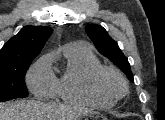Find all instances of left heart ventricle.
Segmentation results:
<instances>
[{"label": "left heart ventricle", "instance_id": "obj_1", "mask_svg": "<svg viewBox=\"0 0 165 120\" xmlns=\"http://www.w3.org/2000/svg\"><path fill=\"white\" fill-rule=\"evenodd\" d=\"M99 85L110 93H118L122 88L120 81L110 73H106L100 78Z\"/></svg>", "mask_w": 165, "mask_h": 120}]
</instances>
